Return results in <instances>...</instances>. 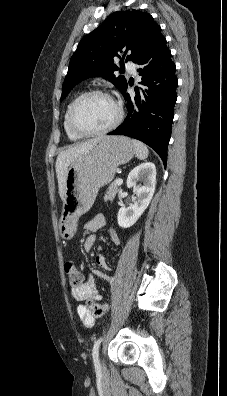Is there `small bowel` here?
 <instances>
[{"label": "small bowel", "instance_id": "1", "mask_svg": "<svg viewBox=\"0 0 227 396\" xmlns=\"http://www.w3.org/2000/svg\"><path fill=\"white\" fill-rule=\"evenodd\" d=\"M106 225L107 222L105 216L103 214H97L87 221L85 229L93 233L106 227ZM108 233L111 242L118 245L120 243V239L117 232L113 228H109ZM95 243V235H88L84 241V249L86 251H90ZM96 263L102 270L106 271L109 269L105 258L101 254L97 255ZM102 283H111V278L101 271H95L89 276L87 281L77 287H72V295L78 301H100L102 297L99 293V287ZM77 314L86 327H91L94 324L95 316L86 305L79 304L77 307Z\"/></svg>", "mask_w": 227, "mask_h": 396}]
</instances>
